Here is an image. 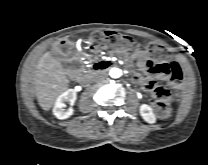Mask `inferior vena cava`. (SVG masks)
<instances>
[{
    "instance_id": "inferior-vena-cava-1",
    "label": "inferior vena cava",
    "mask_w": 208,
    "mask_h": 165,
    "mask_svg": "<svg viewBox=\"0 0 208 165\" xmlns=\"http://www.w3.org/2000/svg\"><path fill=\"white\" fill-rule=\"evenodd\" d=\"M105 78H106V73H104V72H100V73L96 74L94 77V79L97 81L104 80Z\"/></svg>"
}]
</instances>
